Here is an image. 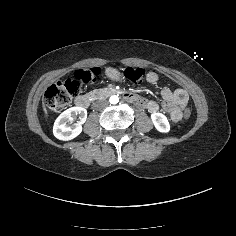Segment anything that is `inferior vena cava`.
Masks as SVG:
<instances>
[{"label": "inferior vena cava", "instance_id": "1", "mask_svg": "<svg viewBox=\"0 0 236 236\" xmlns=\"http://www.w3.org/2000/svg\"><path fill=\"white\" fill-rule=\"evenodd\" d=\"M107 105L106 101L101 100L93 104L94 109L99 110Z\"/></svg>", "mask_w": 236, "mask_h": 236}]
</instances>
